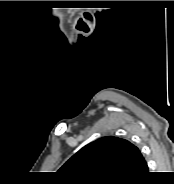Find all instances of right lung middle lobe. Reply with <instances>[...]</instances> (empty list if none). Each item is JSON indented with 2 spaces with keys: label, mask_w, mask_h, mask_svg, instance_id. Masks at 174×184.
Masks as SVG:
<instances>
[{
  "label": "right lung middle lobe",
  "mask_w": 174,
  "mask_h": 184,
  "mask_svg": "<svg viewBox=\"0 0 174 184\" xmlns=\"http://www.w3.org/2000/svg\"><path fill=\"white\" fill-rule=\"evenodd\" d=\"M123 183V182H121ZM121 183H115V184H121ZM85 184H110V183H97V182H94V183H85Z\"/></svg>",
  "instance_id": "obj_1"
}]
</instances>
